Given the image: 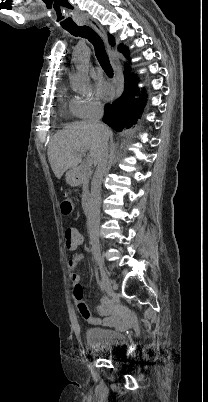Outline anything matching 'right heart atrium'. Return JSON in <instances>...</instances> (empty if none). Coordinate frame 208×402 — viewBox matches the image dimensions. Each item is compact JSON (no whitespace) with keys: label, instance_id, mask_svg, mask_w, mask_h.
Returning a JSON list of instances; mask_svg holds the SVG:
<instances>
[{"label":"right heart atrium","instance_id":"right-heart-atrium-1","mask_svg":"<svg viewBox=\"0 0 208 402\" xmlns=\"http://www.w3.org/2000/svg\"><path fill=\"white\" fill-rule=\"evenodd\" d=\"M73 105L76 116L81 120L89 119L102 110V103L92 89L78 91Z\"/></svg>","mask_w":208,"mask_h":402}]
</instances>
